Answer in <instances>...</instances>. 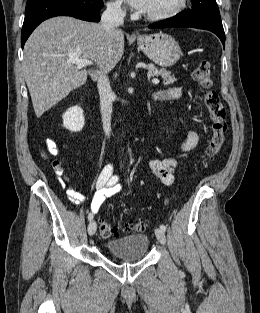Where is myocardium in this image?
Here are the masks:
<instances>
[{"label":"myocardium","mask_w":260,"mask_h":313,"mask_svg":"<svg viewBox=\"0 0 260 313\" xmlns=\"http://www.w3.org/2000/svg\"><path fill=\"white\" fill-rule=\"evenodd\" d=\"M186 6L187 0H178L176 5L173 8L169 9L168 11L156 14L145 13L144 16L146 19L150 21H165L182 13Z\"/></svg>","instance_id":"obj_1"}]
</instances>
